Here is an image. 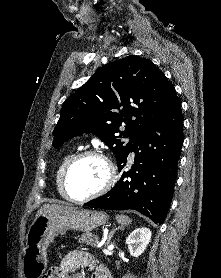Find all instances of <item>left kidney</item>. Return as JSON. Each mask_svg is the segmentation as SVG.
<instances>
[{"label": "left kidney", "instance_id": "5707ae66", "mask_svg": "<svg viewBox=\"0 0 221 278\" xmlns=\"http://www.w3.org/2000/svg\"><path fill=\"white\" fill-rule=\"evenodd\" d=\"M151 231L146 227L135 229L126 239L129 252L133 257H139L151 240Z\"/></svg>", "mask_w": 221, "mask_h": 278}]
</instances>
